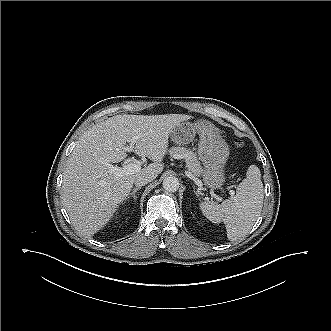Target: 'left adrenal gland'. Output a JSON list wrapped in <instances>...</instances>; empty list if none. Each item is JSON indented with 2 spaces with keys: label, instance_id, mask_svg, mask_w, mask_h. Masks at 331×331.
<instances>
[{
  "label": "left adrenal gland",
  "instance_id": "a2214340",
  "mask_svg": "<svg viewBox=\"0 0 331 331\" xmlns=\"http://www.w3.org/2000/svg\"><path fill=\"white\" fill-rule=\"evenodd\" d=\"M195 193H196V194H199V192H198V191H195Z\"/></svg>",
  "mask_w": 331,
  "mask_h": 331
}]
</instances>
